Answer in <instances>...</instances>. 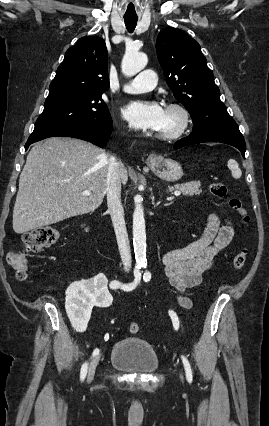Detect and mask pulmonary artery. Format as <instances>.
<instances>
[{
  "label": "pulmonary artery",
  "mask_w": 269,
  "mask_h": 426,
  "mask_svg": "<svg viewBox=\"0 0 269 426\" xmlns=\"http://www.w3.org/2000/svg\"><path fill=\"white\" fill-rule=\"evenodd\" d=\"M157 75L155 71L146 69L140 72L133 79L129 80L124 86L126 93H143L152 90L156 86Z\"/></svg>",
  "instance_id": "1"
}]
</instances>
